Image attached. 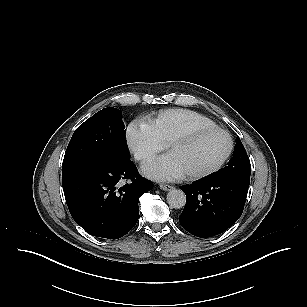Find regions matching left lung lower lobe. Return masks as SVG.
I'll list each match as a JSON object with an SVG mask.
<instances>
[{
  "label": "left lung lower lobe",
  "instance_id": "1",
  "mask_svg": "<svg viewBox=\"0 0 307 307\" xmlns=\"http://www.w3.org/2000/svg\"><path fill=\"white\" fill-rule=\"evenodd\" d=\"M250 179L203 178L181 186L186 204L181 226L197 237H212L230 228L241 216Z\"/></svg>",
  "mask_w": 307,
  "mask_h": 307
}]
</instances>
